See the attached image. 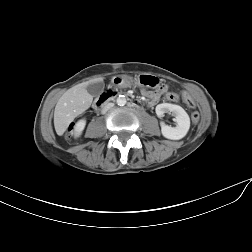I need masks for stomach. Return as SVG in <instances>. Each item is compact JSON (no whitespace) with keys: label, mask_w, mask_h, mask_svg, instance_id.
<instances>
[{"label":"stomach","mask_w":252,"mask_h":252,"mask_svg":"<svg viewBox=\"0 0 252 252\" xmlns=\"http://www.w3.org/2000/svg\"><path fill=\"white\" fill-rule=\"evenodd\" d=\"M128 81V78L126 76H114L113 79H112V82L115 84V85H123L125 83H127ZM137 84L140 85V86H147V87H152V86H155L156 83H155V78L153 75L151 74H141L140 76H138L137 78Z\"/></svg>","instance_id":"1"}]
</instances>
